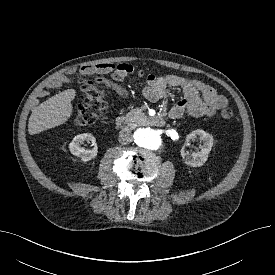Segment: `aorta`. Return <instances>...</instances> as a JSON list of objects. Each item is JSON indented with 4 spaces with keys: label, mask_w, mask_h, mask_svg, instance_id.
<instances>
[{
    "label": "aorta",
    "mask_w": 275,
    "mask_h": 275,
    "mask_svg": "<svg viewBox=\"0 0 275 275\" xmlns=\"http://www.w3.org/2000/svg\"><path fill=\"white\" fill-rule=\"evenodd\" d=\"M135 143L149 150H157L161 145V139L155 130L150 128H139L134 133Z\"/></svg>",
    "instance_id": "762f6f07"
}]
</instances>
